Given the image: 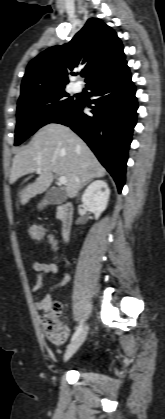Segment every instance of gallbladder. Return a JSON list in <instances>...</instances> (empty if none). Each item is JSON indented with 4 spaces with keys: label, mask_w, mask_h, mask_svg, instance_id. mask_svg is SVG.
I'll list each match as a JSON object with an SVG mask.
<instances>
[{
    "label": "gallbladder",
    "mask_w": 165,
    "mask_h": 419,
    "mask_svg": "<svg viewBox=\"0 0 165 419\" xmlns=\"http://www.w3.org/2000/svg\"><path fill=\"white\" fill-rule=\"evenodd\" d=\"M66 200L64 191L52 188L44 196L43 200L38 204V209H43L48 204H60Z\"/></svg>",
    "instance_id": "gallbladder-1"
}]
</instances>
